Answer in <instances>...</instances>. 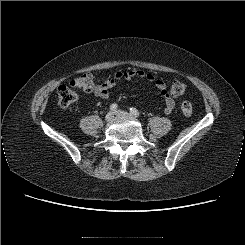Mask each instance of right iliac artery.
Returning a JSON list of instances; mask_svg holds the SVG:
<instances>
[{
	"mask_svg": "<svg viewBox=\"0 0 245 245\" xmlns=\"http://www.w3.org/2000/svg\"><path fill=\"white\" fill-rule=\"evenodd\" d=\"M117 108H118V105L116 103H113V104L110 105V110L111 111H116Z\"/></svg>",
	"mask_w": 245,
	"mask_h": 245,
	"instance_id": "obj_1",
	"label": "right iliac artery"
}]
</instances>
